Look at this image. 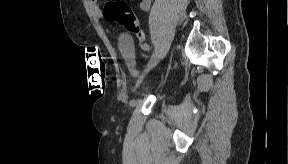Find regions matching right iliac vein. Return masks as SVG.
Returning <instances> with one entry per match:
<instances>
[{"mask_svg": "<svg viewBox=\"0 0 288 164\" xmlns=\"http://www.w3.org/2000/svg\"><path fill=\"white\" fill-rule=\"evenodd\" d=\"M159 58H160V53H159V52L155 53V54L151 57V59L149 60V62H148V64H147V67H146L143 75H142V76L140 77V79L138 80L136 87H138V86L141 84V82L143 81V79H144V77L146 76V74L149 72V70H150L154 65H156V63L158 62ZM130 104L133 105L134 102L132 101Z\"/></svg>", "mask_w": 288, "mask_h": 164, "instance_id": "63e3f726", "label": "right iliac vein"}]
</instances>
